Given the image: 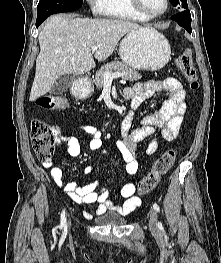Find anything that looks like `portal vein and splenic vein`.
I'll use <instances>...</instances> for the list:
<instances>
[{"mask_svg": "<svg viewBox=\"0 0 221 263\" xmlns=\"http://www.w3.org/2000/svg\"><path fill=\"white\" fill-rule=\"evenodd\" d=\"M98 48H99L98 46H93V47L91 48V51H92V52H95V51H97ZM121 76H123V74L118 73V72H117V73L106 72V73L104 74V80H105V82H112L113 79L119 78V77H121Z\"/></svg>", "mask_w": 221, "mask_h": 263, "instance_id": "18ae733b", "label": "portal vein and splenic vein"}]
</instances>
